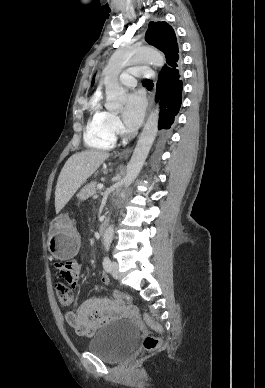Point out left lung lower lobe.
<instances>
[{"mask_svg":"<svg viewBox=\"0 0 265 388\" xmlns=\"http://www.w3.org/2000/svg\"><path fill=\"white\" fill-rule=\"evenodd\" d=\"M182 65L160 72L155 100H160L159 130H163L161 142L165 141L174 126L182 103Z\"/></svg>","mask_w":265,"mask_h":388,"instance_id":"1","label":"left lung lower lobe"}]
</instances>
